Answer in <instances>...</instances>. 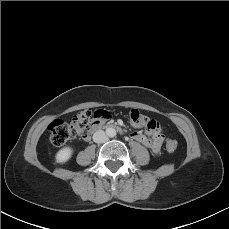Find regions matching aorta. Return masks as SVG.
Returning a JSON list of instances; mask_svg holds the SVG:
<instances>
[{
  "label": "aorta",
  "instance_id": "1",
  "mask_svg": "<svg viewBox=\"0 0 229 229\" xmlns=\"http://www.w3.org/2000/svg\"><path fill=\"white\" fill-rule=\"evenodd\" d=\"M106 134L112 138V137L116 136V130L112 127H109L106 129Z\"/></svg>",
  "mask_w": 229,
  "mask_h": 229
}]
</instances>
